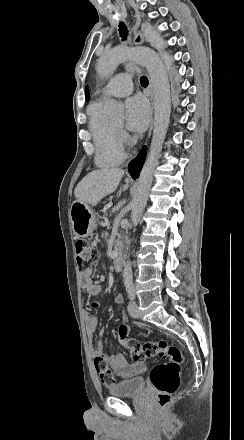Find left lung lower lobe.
I'll return each mask as SVG.
<instances>
[{"label": "left lung lower lobe", "instance_id": "0a47b994", "mask_svg": "<svg viewBox=\"0 0 244 440\" xmlns=\"http://www.w3.org/2000/svg\"><path fill=\"white\" fill-rule=\"evenodd\" d=\"M174 88L176 91L179 89V84L176 81L174 82Z\"/></svg>", "mask_w": 244, "mask_h": 440}]
</instances>
